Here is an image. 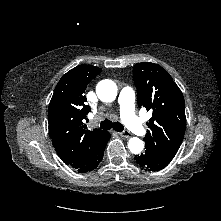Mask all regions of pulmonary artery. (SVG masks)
Wrapping results in <instances>:
<instances>
[{"label": "pulmonary artery", "instance_id": "1", "mask_svg": "<svg viewBox=\"0 0 221 221\" xmlns=\"http://www.w3.org/2000/svg\"><path fill=\"white\" fill-rule=\"evenodd\" d=\"M135 96L131 88L125 87L121 90L118 103L120 106V115L126 126L137 135H144V126L139 121L134 112Z\"/></svg>", "mask_w": 221, "mask_h": 221}]
</instances>
